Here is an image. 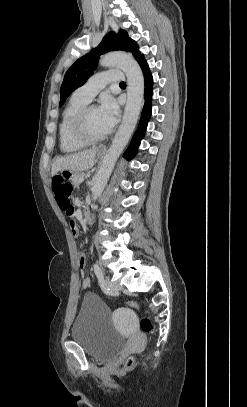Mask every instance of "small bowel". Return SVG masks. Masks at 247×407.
Segmentation results:
<instances>
[{
  "instance_id": "obj_1",
  "label": "small bowel",
  "mask_w": 247,
  "mask_h": 407,
  "mask_svg": "<svg viewBox=\"0 0 247 407\" xmlns=\"http://www.w3.org/2000/svg\"><path fill=\"white\" fill-rule=\"evenodd\" d=\"M63 212L68 220L72 233L77 234V223H76V219H75V208H74L73 204L71 203L70 206L68 207V209L63 210ZM85 262H86L85 253L79 252L78 257H77V263L81 269L85 266ZM90 284H91L90 278L85 276L84 273H82V286L84 288H87L90 286Z\"/></svg>"
}]
</instances>
